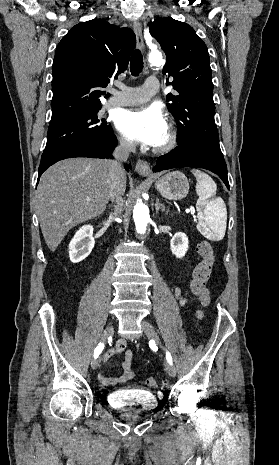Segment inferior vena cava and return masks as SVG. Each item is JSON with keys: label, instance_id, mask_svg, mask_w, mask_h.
<instances>
[{"label": "inferior vena cava", "instance_id": "602c4592", "mask_svg": "<svg viewBox=\"0 0 279 465\" xmlns=\"http://www.w3.org/2000/svg\"><path fill=\"white\" fill-rule=\"evenodd\" d=\"M136 146L134 142L120 139L119 145L113 152L114 159L108 160L110 168L109 173V198L116 203L114 206L113 216H117L123 210V194L121 189L120 177L124 173L123 162L127 160L131 152H135Z\"/></svg>", "mask_w": 279, "mask_h": 465}]
</instances>
